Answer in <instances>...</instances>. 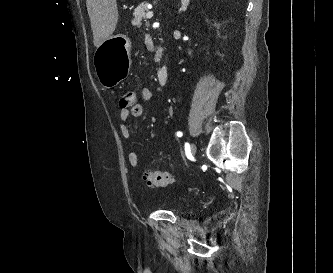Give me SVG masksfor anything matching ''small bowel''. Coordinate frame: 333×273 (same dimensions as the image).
<instances>
[{"label": "small bowel", "instance_id": "c3829d8e", "mask_svg": "<svg viewBox=\"0 0 333 273\" xmlns=\"http://www.w3.org/2000/svg\"><path fill=\"white\" fill-rule=\"evenodd\" d=\"M141 98L143 101L149 102L153 99V92L150 88L144 87L141 90ZM144 113V107L140 102L135 101L134 104H132L131 109H122V107L119 110V133L124 139H128L130 137V131L125 124L130 118V116L133 117H140ZM127 160L129 165L134 170H139L140 162L138 154L134 151H131L127 155Z\"/></svg>", "mask_w": 333, "mask_h": 273}]
</instances>
